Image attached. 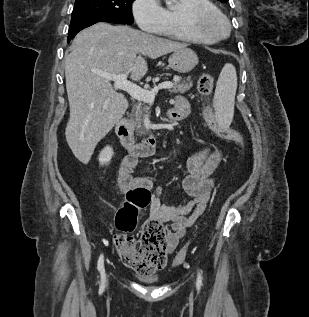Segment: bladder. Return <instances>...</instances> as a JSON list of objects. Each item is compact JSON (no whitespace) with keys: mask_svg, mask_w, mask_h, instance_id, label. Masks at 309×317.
<instances>
[{"mask_svg":"<svg viewBox=\"0 0 309 317\" xmlns=\"http://www.w3.org/2000/svg\"><path fill=\"white\" fill-rule=\"evenodd\" d=\"M139 279L146 283H155L158 281V277L156 275L140 276Z\"/></svg>","mask_w":309,"mask_h":317,"instance_id":"obj_1","label":"bladder"}]
</instances>
